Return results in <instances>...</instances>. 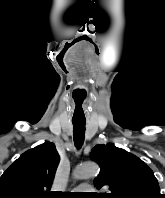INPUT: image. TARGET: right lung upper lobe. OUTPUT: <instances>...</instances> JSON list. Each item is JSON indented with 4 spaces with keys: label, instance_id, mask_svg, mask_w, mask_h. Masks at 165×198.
Wrapping results in <instances>:
<instances>
[{
    "label": "right lung upper lobe",
    "instance_id": "obj_1",
    "mask_svg": "<svg viewBox=\"0 0 165 198\" xmlns=\"http://www.w3.org/2000/svg\"><path fill=\"white\" fill-rule=\"evenodd\" d=\"M60 161L55 145L45 142L23 153L1 176L0 198H51Z\"/></svg>",
    "mask_w": 165,
    "mask_h": 198
}]
</instances>
